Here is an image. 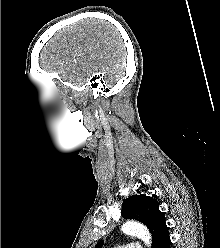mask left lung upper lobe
<instances>
[{
    "label": "left lung upper lobe",
    "instance_id": "1",
    "mask_svg": "<svg viewBox=\"0 0 220 248\" xmlns=\"http://www.w3.org/2000/svg\"><path fill=\"white\" fill-rule=\"evenodd\" d=\"M122 217L134 218L144 223L152 234V245L158 239L163 228L166 227L164 215L159 210L158 202L145 195H133L123 201ZM104 241H100L95 248H100Z\"/></svg>",
    "mask_w": 220,
    "mask_h": 248
}]
</instances>
